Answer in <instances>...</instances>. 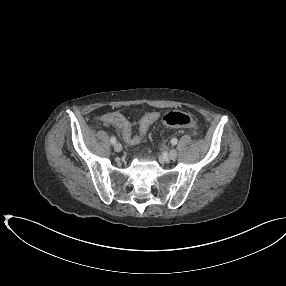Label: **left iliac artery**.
Segmentation results:
<instances>
[{
    "mask_svg": "<svg viewBox=\"0 0 286 286\" xmlns=\"http://www.w3.org/2000/svg\"><path fill=\"white\" fill-rule=\"evenodd\" d=\"M171 143H172L173 145H176V144H177V139H176V138H173V139L171 140Z\"/></svg>",
    "mask_w": 286,
    "mask_h": 286,
    "instance_id": "obj_1",
    "label": "left iliac artery"
}]
</instances>
